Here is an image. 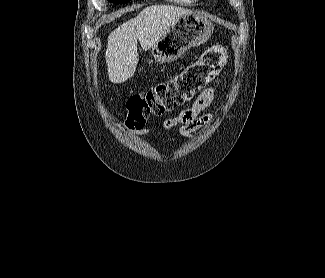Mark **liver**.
I'll use <instances>...</instances> for the list:
<instances>
[{"label":"liver","mask_w":325,"mask_h":278,"mask_svg":"<svg viewBox=\"0 0 325 278\" xmlns=\"http://www.w3.org/2000/svg\"><path fill=\"white\" fill-rule=\"evenodd\" d=\"M193 12L173 5L144 8L135 18L112 31L105 59L109 80L119 84L131 78L138 63L137 41L143 50L152 48L178 18Z\"/></svg>","instance_id":"obj_1"}]
</instances>
